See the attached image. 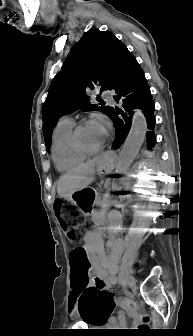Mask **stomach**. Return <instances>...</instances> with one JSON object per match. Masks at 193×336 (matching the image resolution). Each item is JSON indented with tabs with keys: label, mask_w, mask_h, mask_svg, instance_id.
<instances>
[{
	"label": "stomach",
	"mask_w": 193,
	"mask_h": 336,
	"mask_svg": "<svg viewBox=\"0 0 193 336\" xmlns=\"http://www.w3.org/2000/svg\"><path fill=\"white\" fill-rule=\"evenodd\" d=\"M113 162V154H104L101 162L97 165L98 172L100 174H108L113 168ZM70 200L73 204L77 205L84 214L88 215L96 200V194L90 191L89 188H83L73 192L70 196Z\"/></svg>",
	"instance_id": "stomach-1"
}]
</instances>
